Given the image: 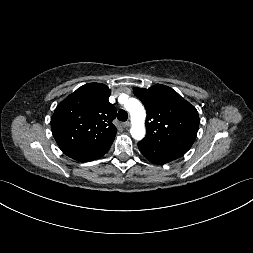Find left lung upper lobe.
<instances>
[{
  "label": "left lung upper lobe",
  "mask_w": 253,
  "mask_h": 253,
  "mask_svg": "<svg viewBox=\"0 0 253 253\" xmlns=\"http://www.w3.org/2000/svg\"><path fill=\"white\" fill-rule=\"evenodd\" d=\"M146 111V136L142 143L186 153L195 141L199 116L196 108L172 88L156 84L134 88Z\"/></svg>",
  "instance_id": "5c2ea615"
}]
</instances>
